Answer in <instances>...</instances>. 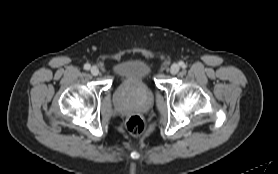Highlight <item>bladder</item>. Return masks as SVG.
<instances>
[{"instance_id": "1", "label": "bladder", "mask_w": 278, "mask_h": 174, "mask_svg": "<svg viewBox=\"0 0 278 174\" xmlns=\"http://www.w3.org/2000/svg\"><path fill=\"white\" fill-rule=\"evenodd\" d=\"M114 72L123 80L131 83L145 82L150 78L149 63L140 58L124 59L114 66Z\"/></svg>"}]
</instances>
